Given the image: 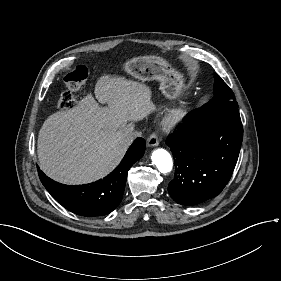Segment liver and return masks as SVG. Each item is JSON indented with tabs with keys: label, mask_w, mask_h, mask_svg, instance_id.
<instances>
[{
	"label": "liver",
	"mask_w": 281,
	"mask_h": 281,
	"mask_svg": "<svg viewBox=\"0 0 281 281\" xmlns=\"http://www.w3.org/2000/svg\"><path fill=\"white\" fill-rule=\"evenodd\" d=\"M94 93L108 106L88 94L72 109L50 115L39 131L40 168L57 182L79 185L104 177L124 157L133 122L156 108L148 86L124 77H100Z\"/></svg>",
	"instance_id": "obj_1"
}]
</instances>
